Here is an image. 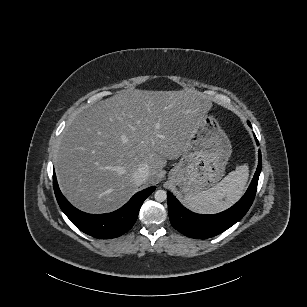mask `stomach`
I'll return each mask as SVG.
<instances>
[{"label":"stomach","mask_w":307,"mask_h":307,"mask_svg":"<svg viewBox=\"0 0 307 307\" xmlns=\"http://www.w3.org/2000/svg\"><path fill=\"white\" fill-rule=\"evenodd\" d=\"M231 153V142L217 119L204 113L169 179L184 193L206 190L222 179Z\"/></svg>","instance_id":"1"}]
</instances>
